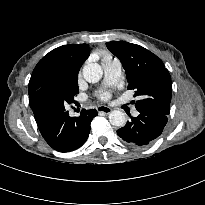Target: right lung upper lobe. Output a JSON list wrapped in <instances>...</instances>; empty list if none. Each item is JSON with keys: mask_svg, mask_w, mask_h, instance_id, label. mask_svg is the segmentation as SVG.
Wrapping results in <instances>:
<instances>
[{"mask_svg": "<svg viewBox=\"0 0 205 205\" xmlns=\"http://www.w3.org/2000/svg\"><path fill=\"white\" fill-rule=\"evenodd\" d=\"M89 54L88 44H69L50 51L33 70L28 85L29 95L50 83L66 85L69 77L78 76L79 69Z\"/></svg>", "mask_w": 205, "mask_h": 205, "instance_id": "1", "label": "right lung upper lobe"}]
</instances>
